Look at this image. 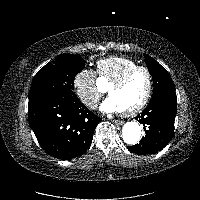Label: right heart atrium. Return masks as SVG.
<instances>
[{"instance_id":"obj_1","label":"right heart atrium","mask_w":200,"mask_h":200,"mask_svg":"<svg viewBox=\"0 0 200 200\" xmlns=\"http://www.w3.org/2000/svg\"><path fill=\"white\" fill-rule=\"evenodd\" d=\"M72 84L77 97L88 108H94L103 95V90L99 87L96 74L92 69L79 70L74 75Z\"/></svg>"}]
</instances>
